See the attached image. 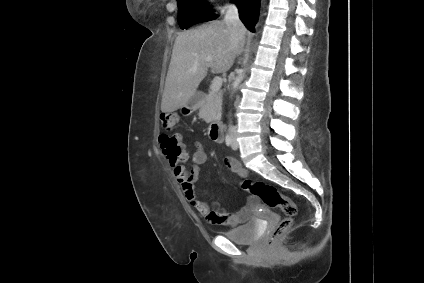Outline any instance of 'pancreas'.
<instances>
[{"instance_id": "obj_1", "label": "pancreas", "mask_w": 424, "mask_h": 283, "mask_svg": "<svg viewBox=\"0 0 424 283\" xmlns=\"http://www.w3.org/2000/svg\"><path fill=\"white\" fill-rule=\"evenodd\" d=\"M221 106L222 93L210 91L200 104L199 117L206 122H212L220 117L222 110Z\"/></svg>"}]
</instances>
